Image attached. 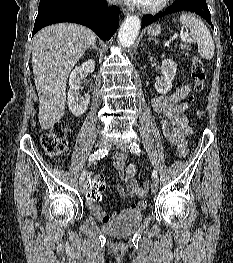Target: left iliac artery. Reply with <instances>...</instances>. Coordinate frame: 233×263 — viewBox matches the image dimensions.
I'll return each instance as SVG.
<instances>
[{"label": "left iliac artery", "instance_id": "1", "mask_svg": "<svg viewBox=\"0 0 233 263\" xmlns=\"http://www.w3.org/2000/svg\"><path fill=\"white\" fill-rule=\"evenodd\" d=\"M129 150H130V152L133 153V154H138V153H140L139 145L136 144L135 142H133V143H131V144L129 145ZM157 176H158L157 171H156V170H153V172H152V177H153L154 179H157Z\"/></svg>", "mask_w": 233, "mask_h": 263}]
</instances>
